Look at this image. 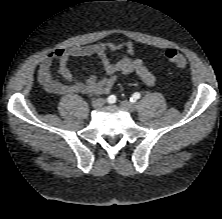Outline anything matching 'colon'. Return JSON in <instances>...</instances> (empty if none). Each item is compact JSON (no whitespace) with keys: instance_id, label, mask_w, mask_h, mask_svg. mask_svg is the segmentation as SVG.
Listing matches in <instances>:
<instances>
[{"instance_id":"colon-1","label":"colon","mask_w":222,"mask_h":219,"mask_svg":"<svg viewBox=\"0 0 222 219\" xmlns=\"http://www.w3.org/2000/svg\"><path fill=\"white\" fill-rule=\"evenodd\" d=\"M165 59L177 68H185L187 66L186 57L175 49H170L164 54Z\"/></svg>"}]
</instances>
